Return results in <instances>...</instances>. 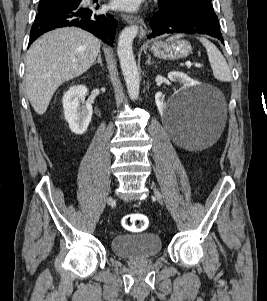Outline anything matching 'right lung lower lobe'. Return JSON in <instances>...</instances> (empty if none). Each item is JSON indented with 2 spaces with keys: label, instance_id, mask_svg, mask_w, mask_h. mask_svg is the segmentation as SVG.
I'll return each mask as SVG.
<instances>
[{
  "label": "right lung lower lobe",
  "instance_id": "obj_1",
  "mask_svg": "<svg viewBox=\"0 0 267 301\" xmlns=\"http://www.w3.org/2000/svg\"><path fill=\"white\" fill-rule=\"evenodd\" d=\"M81 0H71L58 7L39 12L31 29V44L41 34L57 27H81L107 44L113 45L117 21L110 14H98V7H87Z\"/></svg>",
  "mask_w": 267,
  "mask_h": 301
}]
</instances>
